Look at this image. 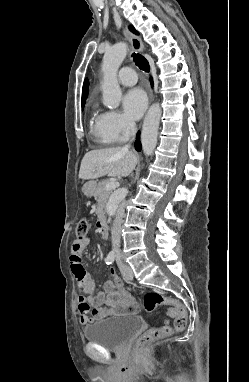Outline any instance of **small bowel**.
<instances>
[{"label": "small bowel", "instance_id": "1", "mask_svg": "<svg viewBox=\"0 0 249 382\" xmlns=\"http://www.w3.org/2000/svg\"><path fill=\"white\" fill-rule=\"evenodd\" d=\"M89 243V237L83 241L76 239L70 254L71 269L79 292L76 302L80 323L88 325L113 314L135 312L137 306L132 293L114 271L111 272V279L104 284L105 293L96 291L95 284L81 264V254Z\"/></svg>", "mask_w": 249, "mask_h": 382}]
</instances>
